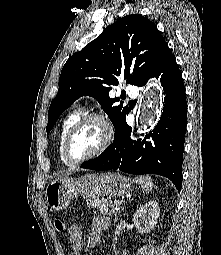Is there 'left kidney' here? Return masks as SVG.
Wrapping results in <instances>:
<instances>
[{"mask_svg": "<svg viewBox=\"0 0 221 255\" xmlns=\"http://www.w3.org/2000/svg\"><path fill=\"white\" fill-rule=\"evenodd\" d=\"M160 215L158 202L149 201L142 205L134 214L133 221L140 233H148L153 229Z\"/></svg>", "mask_w": 221, "mask_h": 255, "instance_id": "obj_1", "label": "left kidney"}]
</instances>
